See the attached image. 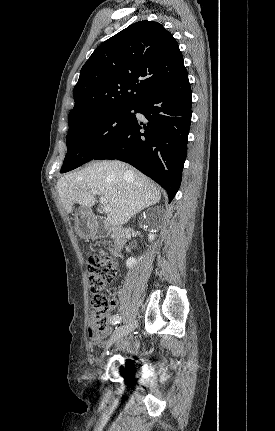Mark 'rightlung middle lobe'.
Listing matches in <instances>:
<instances>
[{
	"mask_svg": "<svg viewBox=\"0 0 275 431\" xmlns=\"http://www.w3.org/2000/svg\"><path fill=\"white\" fill-rule=\"evenodd\" d=\"M132 110H136V106H113L70 123L66 136L68 151L60 172L73 170L106 149L136 119Z\"/></svg>",
	"mask_w": 275,
	"mask_h": 431,
	"instance_id": "right-lung-middle-lobe-1",
	"label": "right lung middle lobe"
}]
</instances>
